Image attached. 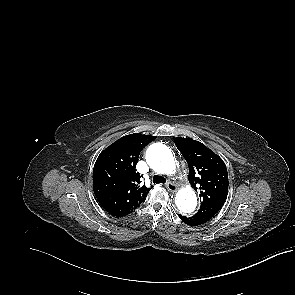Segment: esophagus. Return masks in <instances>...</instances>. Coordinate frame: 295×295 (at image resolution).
<instances>
[{"instance_id":"esophagus-1","label":"esophagus","mask_w":295,"mask_h":295,"mask_svg":"<svg viewBox=\"0 0 295 295\" xmlns=\"http://www.w3.org/2000/svg\"><path fill=\"white\" fill-rule=\"evenodd\" d=\"M166 188L169 190V191H171V192H176L177 191V186L173 183V182H171V181H168L167 183H166Z\"/></svg>"}]
</instances>
